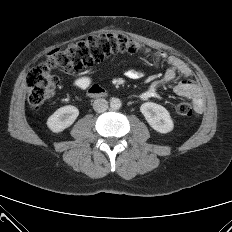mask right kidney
Segmentation results:
<instances>
[{
    "label": "right kidney",
    "instance_id": "ca27d5eb",
    "mask_svg": "<svg viewBox=\"0 0 232 232\" xmlns=\"http://www.w3.org/2000/svg\"><path fill=\"white\" fill-rule=\"evenodd\" d=\"M79 115V110L72 105H66L57 109L47 120L48 128L59 133L71 126Z\"/></svg>",
    "mask_w": 232,
    "mask_h": 232
}]
</instances>
